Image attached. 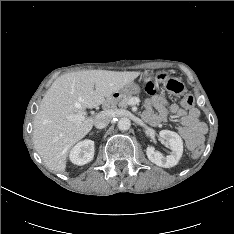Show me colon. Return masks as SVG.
Wrapping results in <instances>:
<instances>
[{
  "label": "colon",
  "mask_w": 234,
  "mask_h": 234,
  "mask_svg": "<svg viewBox=\"0 0 234 234\" xmlns=\"http://www.w3.org/2000/svg\"><path fill=\"white\" fill-rule=\"evenodd\" d=\"M165 88L169 92H171L174 95L179 97L182 106H184L186 108H189V107L193 106L194 98H193V96L191 94L186 92L185 86L181 82H179V81H177L175 79H169L165 84ZM146 91L149 94H154L155 93L154 84L151 83V82L147 83ZM190 149L192 151V156L194 158L199 157L200 154L202 153V150H203L202 147L199 146V145L198 146H193Z\"/></svg>",
  "instance_id": "obj_1"
}]
</instances>
